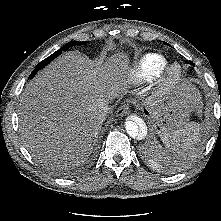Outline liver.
<instances>
[{
  "label": "liver",
  "mask_w": 221,
  "mask_h": 221,
  "mask_svg": "<svg viewBox=\"0 0 221 221\" xmlns=\"http://www.w3.org/2000/svg\"><path fill=\"white\" fill-rule=\"evenodd\" d=\"M128 63L115 55L105 66L74 52L57 58L29 82L20 98L19 130L32 156L74 166L88 156L104 120L100 106L123 90ZM188 104L198 99L185 87Z\"/></svg>",
  "instance_id": "liver-1"
}]
</instances>
